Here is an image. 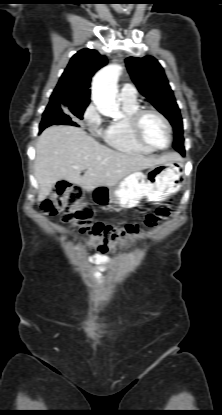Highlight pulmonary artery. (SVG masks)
Masks as SVG:
<instances>
[{"label": "pulmonary artery", "mask_w": 222, "mask_h": 415, "mask_svg": "<svg viewBox=\"0 0 222 415\" xmlns=\"http://www.w3.org/2000/svg\"><path fill=\"white\" fill-rule=\"evenodd\" d=\"M136 89L133 85L125 83L121 87L120 99L122 100H134L136 99Z\"/></svg>", "instance_id": "pulmonary-artery-1"}]
</instances>
